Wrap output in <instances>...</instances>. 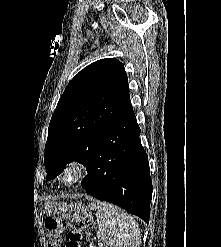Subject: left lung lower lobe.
<instances>
[{"instance_id": "obj_1", "label": "left lung lower lobe", "mask_w": 221, "mask_h": 247, "mask_svg": "<svg viewBox=\"0 0 221 247\" xmlns=\"http://www.w3.org/2000/svg\"><path fill=\"white\" fill-rule=\"evenodd\" d=\"M135 114L111 124L91 157L82 187L149 223L152 181Z\"/></svg>"}]
</instances>
